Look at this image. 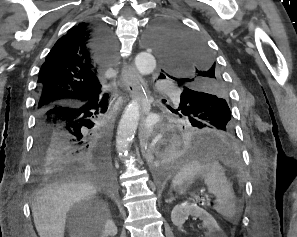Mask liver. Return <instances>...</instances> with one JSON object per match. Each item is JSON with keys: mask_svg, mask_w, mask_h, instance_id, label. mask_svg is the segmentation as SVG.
<instances>
[{"mask_svg": "<svg viewBox=\"0 0 297 237\" xmlns=\"http://www.w3.org/2000/svg\"><path fill=\"white\" fill-rule=\"evenodd\" d=\"M97 193L88 177L71 176L38 190L33 196L32 216L40 237H64L67 213L82 200Z\"/></svg>", "mask_w": 297, "mask_h": 237, "instance_id": "liver-1", "label": "liver"}]
</instances>
